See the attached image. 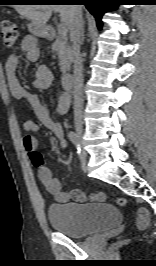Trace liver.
Returning a JSON list of instances; mask_svg holds the SVG:
<instances>
[{"label":"liver","instance_id":"6515ba94","mask_svg":"<svg viewBox=\"0 0 156 266\" xmlns=\"http://www.w3.org/2000/svg\"><path fill=\"white\" fill-rule=\"evenodd\" d=\"M73 5H20L17 10L32 21V25L45 29L52 12H59L62 24L70 30L73 20ZM82 12V7L78 6Z\"/></svg>","mask_w":156,"mask_h":266}]
</instances>
